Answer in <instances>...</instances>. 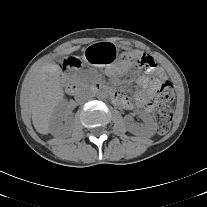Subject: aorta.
Returning <instances> with one entry per match:
<instances>
[{
	"mask_svg": "<svg viewBox=\"0 0 207 207\" xmlns=\"http://www.w3.org/2000/svg\"><path fill=\"white\" fill-rule=\"evenodd\" d=\"M96 97H97L99 100H105V99H107V97H108V93H107L106 90L101 89V90H99V91L97 92Z\"/></svg>",
	"mask_w": 207,
	"mask_h": 207,
	"instance_id": "obj_1",
	"label": "aorta"
}]
</instances>
